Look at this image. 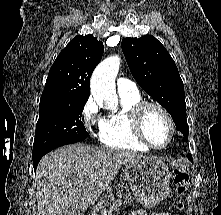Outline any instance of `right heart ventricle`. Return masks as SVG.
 <instances>
[{"instance_id":"1","label":"right heart ventricle","mask_w":221,"mask_h":215,"mask_svg":"<svg viewBox=\"0 0 221 215\" xmlns=\"http://www.w3.org/2000/svg\"><path fill=\"white\" fill-rule=\"evenodd\" d=\"M121 108L111 112L104 120V126L100 133V141L112 148L124 149L132 152H147L150 148L144 145L135 136L131 109L142 100L140 93H119Z\"/></svg>"}]
</instances>
